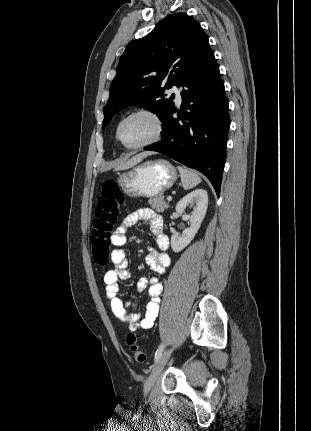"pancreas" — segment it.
Here are the masks:
<instances>
[{
  "label": "pancreas",
  "mask_w": 311,
  "mask_h": 431,
  "mask_svg": "<svg viewBox=\"0 0 311 431\" xmlns=\"http://www.w3.org/2000/svg\"><path fill=\"white\" fill-rule=\"evenodd\" d=\"M148 204L151 206L152 210H155V212H164V210L169 208V204L165 202L163 194L156 196V198H150V200H148Z\"/></svg>",
  "instance_id": "1"
}]
</instances>
